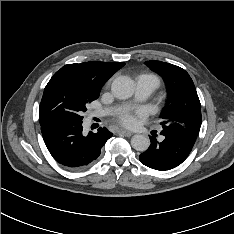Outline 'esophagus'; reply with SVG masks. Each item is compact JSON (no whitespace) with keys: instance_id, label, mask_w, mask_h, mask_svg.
I'll use <instances>...</instances> for the list:
<instances>
[{"instance_id":"obj_1","label":"esophagus","mask_w":234,"mask_h":234,"mask_svg":"<svg viewBox=\"0 0 234 234\" xmlns=\"http://www.w3.org/2000/svg\"><path fill=\"white\" fill-rule=\"evenodd\" d=\"M118 133H120L122 135H125V136H132L133 135V133L131 131H127V130H124V129L118 130Z\"/></svg>"}]
</instances>
